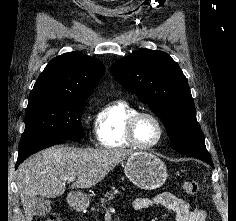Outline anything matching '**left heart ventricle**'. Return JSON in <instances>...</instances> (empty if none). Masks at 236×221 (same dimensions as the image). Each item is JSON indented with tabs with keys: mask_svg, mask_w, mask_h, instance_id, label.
<instances>
[{
	"mask_svg": "<svg viewBox=\"0 0 236 221\" xmlns=\"http://www.w3.org/2000/svg\"><path fill=\"white\" fill-rule=\"evenodd\" d=\"M158 134V127L152 119L148 117H142L139 119L136 124L135 135L140 144H152L157 140Z\"/></svg>",
	"mask_w": 236,
	"mask_h": 221,
	"instance_id": "left-heart-ventricle-1",
	"label": "left heart ventricle"
}]
</instances>
